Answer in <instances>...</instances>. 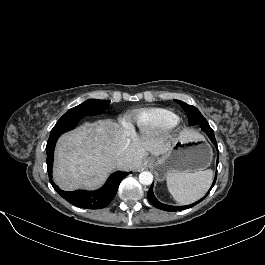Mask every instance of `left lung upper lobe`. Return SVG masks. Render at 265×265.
Instances as JSON below:
<instances>
[{
    "label": "left lung upper lobe",
    "mask_w": 265,
    "mask_h": 265,
    "mask_svg": "<svg viewBox=\"0 0 265 265\" xmlns=\"http://www.w3.org/2000/svg\"><path fill=\"white\" fill-rule=\"evenodd\" d=\"M180 106L184 109V111L187 113L188 116V122L191 125H197L207 122L206 119L203 117V115L199 112V110L192 106L188 105L185 102L175 100Z\"/></svg>",
    "instance_id": "5c2ea615"
}]
</instances>
